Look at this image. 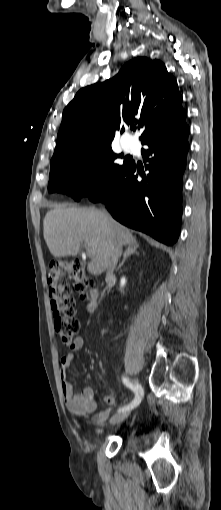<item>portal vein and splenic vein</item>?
Returning <instances> with one entry per match:
<instances>
[{
  "label": "portal vein and splenic vein",
  "mask_w": 221,
  "mask_h": 510,
  "mask_svg": "<svg viewBox=\"0 0 221 510\" xmlns=\"http://www.w3.org/2000/svg\"><path fill=\"white\" fill-rule=\"evenodd\" d=\"M90 255H91V253L88 251V256H90Z\"/></svg>",
  "instance_id": "18ae733b"
}]
</instances>
